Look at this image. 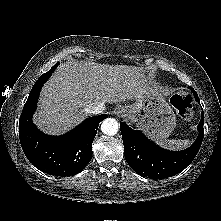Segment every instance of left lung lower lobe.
<instances>
[{
    "label": "left lung lower lobe",
    "mask_w": 221,
    "mask_h": 221,
    "mask_svg": "<svg viewBox=\"0 0 221 221\" xmlns=\"http://www.w3.org/2000/svg\"><path fill=\"white\" fill-rule=\"evenodd\" d=\"M189 88L196 101H199L196 91L192 87ZM203 124L204 114L202 112L198 124V138L188 149L176 152L157 146L142 132L133 130L121 122L120 129L126 161L137 174L144 177L163 179L178 174L192 162L199 151L204 136Z\"/></svg>",
    "instance_id": "1"
}]
</instances>
